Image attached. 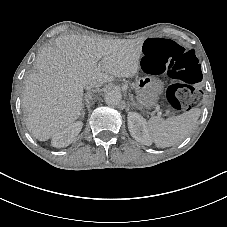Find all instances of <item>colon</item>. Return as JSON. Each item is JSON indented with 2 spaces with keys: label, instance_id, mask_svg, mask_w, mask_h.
Masks as SVG:
<instances>
[{
  "label": "colon",
  "instance_id": "1",
  "mask_svg": "<svg viewBox=\"0 0 227 227\" xmlns=\"http://www.w3.org/2000/svg\"><path fill=\"white\" fill-rule=\"evenodd\" d=\"M142 52L147 73L171 80L166 98L173 108L186 110L199 103L201 92L194 85L202 80V70L192 50L173 40L150 38L144 43Z\"/></svg>",
  "mask_w": 227,
  "mask_h": 227
}]
</instances>
